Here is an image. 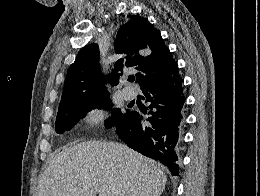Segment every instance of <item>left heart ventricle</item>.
I'll return each instance as SVG.
<instances>
[{
    "label": "left heart ventricle",
    "mask_w": 260,
    "mask_h": 196,
    "mask_svg": "<svg viewBox=\"0 0 260 196\" xmlns=\"http://www.w3.org/2000/svg\"><path fill=\"white\" fill-rule=\"evenodd\" d=\"M54 192H65V190H53ZM99 192H109L108 190H99Z\"/></svg>",
    "instance_id": "obj_1"
}]
</instances>
